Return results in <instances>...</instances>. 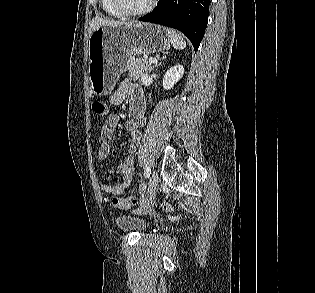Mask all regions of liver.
I'll return each mask as SVG.
<instances>
[{
    "label": "liver",
    "instance_id": "1",
    "mask_svg": "<svg viewBox=\"0 0 315 293\" xmlns=\"http://www.w3.org/2000/svg\"><path fill=\"white\" fill-rule=\"evenodd\" d=\"M126 23L128 22L115 21V20L96 16L90 23L89 31L91 34L94 30H96L98 27H101V26H118V25H123Z\"/></svg>",
    "mask_w": 315,
    "mask_h": 293
}]
</instances>
